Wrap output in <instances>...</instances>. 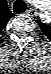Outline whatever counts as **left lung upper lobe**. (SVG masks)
Here are the masks:
<instances>
[{
	"label": "left lung upper lobe",
	"mask_w": 51,
	"mask_h": 74,
	"mask_svg": "<svg viewBox=\"0 0 51 74\" xmlns=\"http://www.w3.org/2000/svg\"><path fill=\"white\" fill-rule=\"evenodd\" d=\"M37 23L41 26L42 25V23L40 22V20H37Z\"/></svg>",
	"instance_id": "obj_1"
}]
</instances>
